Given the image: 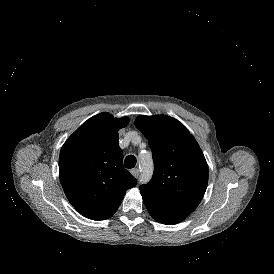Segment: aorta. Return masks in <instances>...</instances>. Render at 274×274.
Returning a JSON list of instances; mask_svg holds the SVG:
<instances>
[{
	"mask_svg": "<svg viewBox=\"0 0 274 274\" xmlns=\"http://www.w3.org/2000/svg\"><path fill=\"white\" fill-rule=\"evenodd\" d=\"M140 160L142 165L141 182L145 184L150 180L152 176V170H153L152 158L141 156Z\"/></svg>",
	"mask_w": 274,
	"mask_h": 274,
	"instance_id": "obj_1",
	"label": "aorta"
}]
</instances>
